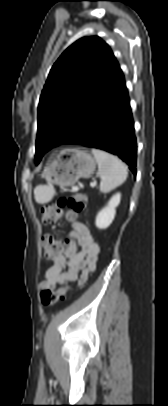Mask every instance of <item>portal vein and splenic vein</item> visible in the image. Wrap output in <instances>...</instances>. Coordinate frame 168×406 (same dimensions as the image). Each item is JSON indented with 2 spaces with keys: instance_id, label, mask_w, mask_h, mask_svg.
I'll use <instances>...</instances> for the list:
<instances>
[{
  "instance_id": "18ae733b",
  "label": "portal vein and splenic vein",
  "mask_w": 168,
  "mask_h": 406,
  "mask_svg": "<svg viewBox=\"0 0 168 406\" xmlns=\"http://www.w3.org/2000/svg\"><path fill=\"white\" fill-rule=\"evenodd\" d=\"M90 186H91V187H95V186H96V183L93 182V183L90 184Z\"/></svg>"
}]
</instances>
